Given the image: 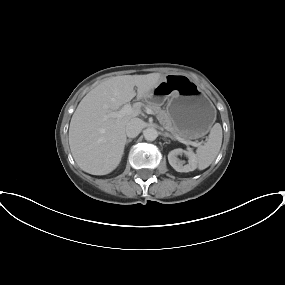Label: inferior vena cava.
Segmentation results:
<instances>
[{"label":"inferior vena cava","instance_id":"inferior-vena-cava-1","mask_svg":"<svg viewBox=\"0 0 285 285\" xmlns=\"http://www.w3.org/2000/svg\"><path fill=\"white\" fill-rule=\"evenodd\" d=\"M144 122L139 118L131 119V121L126 126V135L129 138H134L143 129Z\"/></svg>","mask_w":285,"mask_h":285}]
</instances>
